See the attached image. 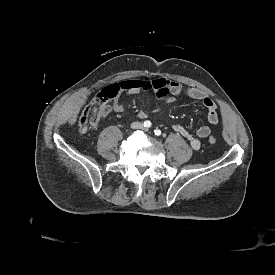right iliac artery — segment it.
Returning a JSON list of instances; mask_svg holds the SVG:
<instances>
[{"mask_svg": "<svg viewBox=\"0 0 275 275\" xmlns=\"http://www.w3.org/2000/svg\"><path fill=\"white\" fill-rule=\"evenodd\" d=\"M150 126H151V122H150L149 120H146V121L144 122V127L149 128Z\"/></svg>", "mask_w": 275, "mask_h": 275, "instance_id": "right-iliac-artery-1", "label": "right iliac artery"}]
</instances>
